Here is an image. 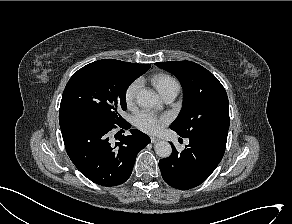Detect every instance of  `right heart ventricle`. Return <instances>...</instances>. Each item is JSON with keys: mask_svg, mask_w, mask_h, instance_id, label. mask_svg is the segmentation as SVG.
<instances>
[{"mask_svg": "<svg viewBox=\"0 0 292 224\" xmlns=\"http://www.w3.org/2000/svg\"><path fill=\"white\" fill-rule=\"evenodd\" d=\"M152 83L156 87L160 95L171 89H177L179 91V84L177 80L166 74H160L155 76L152 79Z\"/></svg>", "mask_w": 292, "mask_h": 224, "instance_id": "e07e8e85", "label": "right heart ventricle"}]
</instances>
